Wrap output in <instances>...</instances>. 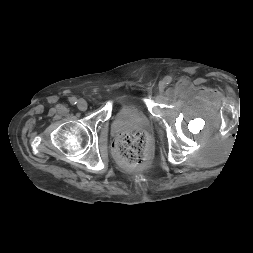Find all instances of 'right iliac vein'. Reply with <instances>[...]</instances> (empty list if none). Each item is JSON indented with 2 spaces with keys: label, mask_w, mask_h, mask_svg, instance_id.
<instances>
[{
  "label": "right iliac vein",
  "mask_w": 253,
  "mask_h": 253,
  "mask_svg": "<svg viewBox=\"0 0 253 253\" xmlns=\"http://www.w3.org/2000/svg\"><path fill=\"white\" fill-rule=\"evenodd\" d=\"M79 110L85 111L88 107L87 102L84 99H80L77 104Z\"/></svg>",
  "instance_id": "right-iliac-vein-1"
}]
</instances>
